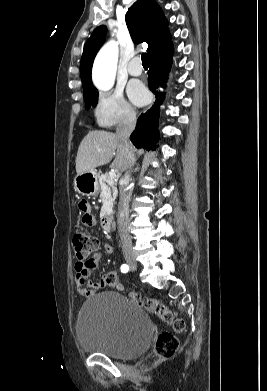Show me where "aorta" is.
<instances>
[{
    "instance_id": "aorta-1",
    "label": "aorta",
    "mask_w": 267,
    "mask_h": 391,
    "mask_svg": "<svg viewBox=\"0 0 267 391\" xmlns=\"http://www.w3.org/2000/svg\"><path fill=\"white\" fill-rule=\"evenodd\" d=\"M118 44L111 40L98 52L92 70L95 86L101 91H109L115 82L118 62Z\"/></svg>"
}]
</instances>
